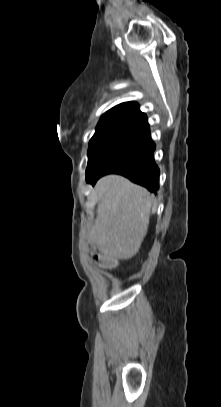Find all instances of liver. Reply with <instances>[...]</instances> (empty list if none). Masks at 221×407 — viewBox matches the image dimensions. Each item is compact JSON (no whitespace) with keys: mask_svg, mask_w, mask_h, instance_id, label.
Masks as SVG:
<instances>
[{"mask_svg":"<svg viewBox=\"0 0 221 407\" xmlns=\"http://www.w3.org/2000/svg\"><path fill=\"white\" fill-rule=\"evenodd\" d=\"M97 217L88 241L110 260L135 256L147 234L155 199L142 186L119 175H107L95 185Z\"/></svg>","mask_w":221,"mask_h":407,"instance_id":"obj_1","label":"liver"}]
</instances>
